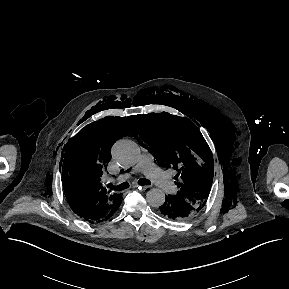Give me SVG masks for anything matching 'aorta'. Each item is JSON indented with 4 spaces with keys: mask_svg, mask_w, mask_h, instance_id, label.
<instances>
[{
    "mask_svg": "<svg viewBox=\"0 0 289 289\" xmlns=\"http://www.w3.org/2000/svg\"><path fill=\"white\" fill-rule=\"evenodd\" d=\"M139 146L127 139L117 141L112 148V156L121 166H131L135 164L139 158ZM146 201L152 207H160L165 202V193L158 188L147 191Z\"/></svg>",
    "mask_w": 289,
    "mask_h": 289,
    "instance_id": "1",
    "label": "aorta"
}]
</instances>
